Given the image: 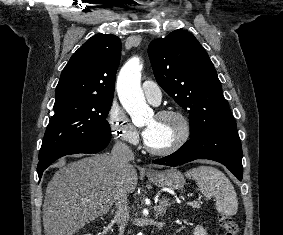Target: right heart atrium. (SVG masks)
<instances>
[{"mask_svg":"<svg viewBox=\"0 0 283 235\" xmlns=\"http://www.w3.org/2000/svg\"><path fill=\"white\" fill-rule=\"evenodd\" d=\"M108 122L114 138L124 144L134 145L138 142L139 133L125 111L113 103L108 112Z\"/></svg>","mask_w":283,"mask_h":235,"instance_id":"1","label":"right heart atrium"}]
</instances>
